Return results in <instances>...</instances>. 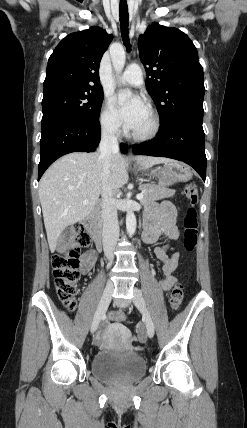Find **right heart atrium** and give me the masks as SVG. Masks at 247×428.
<instances>
[{
  "label": "right heart atrium",
  "mask_w": 247,
  "mask_h": 428,
  "mask_svg": "<svg viewBox=\"0 0 247 428\" xmlns=\"http://www.w3.org/2000/svg\"><path fill=\"white\" fill-rule=\"evenodd\" d=\"M100 125L102 130L111 136L121 133V122L109 98H106L100 112Z\"/></svg>",
  "instance_id": "right-heart-atrium-1"
}]
</instances>
